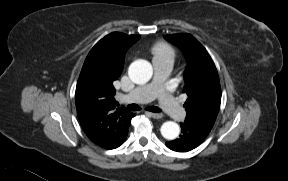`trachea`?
<instances>
[{
    "label": "trachea",
    "mask_w": 288,
    "mask_h": 181,
    "mask_svg": "<svg viewBox=\"0 0 288 181\" xmlns=\"http://www.w3.org/2000/svg\"><path fill=\"white\" fill-rule=\"evenodd\" d=\"M127 108L130 111H138V110H140V107L137 104H130V105L127 106ZM146 110L154 112V113L161 112V109H159L158 107H155V106H149V107L146 108Z\"/></svg>",
    "instance_id": "trachea-1"
}]
</instances>
